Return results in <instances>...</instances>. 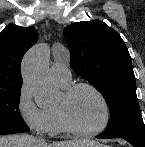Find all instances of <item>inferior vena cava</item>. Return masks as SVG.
<instances>
[{
    "mask_svg": "<svg viewBox=\"0 0 145 147\" xmlns=\"http://www.w3.org/2000/svg\"><path fill=\"white\" fill-rule=\"evenodd\" d=\"M39 142L45 143L46 141L44 139H39Z\"/></svg>",
    "mask_w": 145,
    "mask_h": 147,
    "instance_id": "obj_1",
    "label": "inferior vena cava"
}]
</instances>
